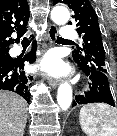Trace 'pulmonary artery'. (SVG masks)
I'll return each instance as SVG.
<instances>
[{
    "label": "pulmonary artery",
    "mask_w": 117,
    "mask_h": 136,
    "mask_svg": "<svg viewBox=\"0 0 117 136\" xmlns=\"http://www.w3.org/2000/svg\"><path fill=\"white\" fill-rule=\"evenodd\" d=\"M61 37L72 40L77 37V31L70 26H64L61 30Z\"/></svg>",
    "instance_id": "1"
}]
</instances>
